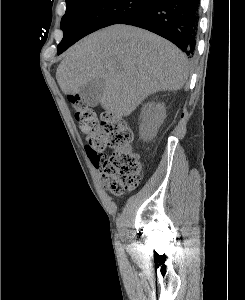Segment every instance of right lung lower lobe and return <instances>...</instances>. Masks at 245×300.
I'll return each instance as SVG.
<instances>
[{"instance_id":"obj_1","label":"right lung lower lobe","mask_w":245,"mask_h":300,"mask_svg":"<svg viewBox=\"0 0 245 300\" xmlns=\"http://www.w3.org/2000/svg\"><path fill=\"white\" fill-rule=\"evenodd\" d=\"M199 21V0H152L118 24L154 32L193 55Z\"/></svg>"}]
</instances>
